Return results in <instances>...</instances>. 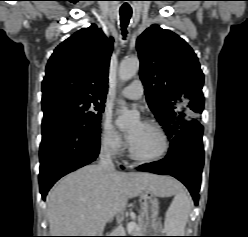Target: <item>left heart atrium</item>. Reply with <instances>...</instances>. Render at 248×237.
<instances>
[{"instance_id":"left-heart-atrium-1","label":"left heart atrium","mask_w":248,"mask_h":237,"mask_svg":"<svg viewBox=\"0 0 248 237\" xmlns=\"http://www.w3.org/2000/svg\"><path fill=\"white\" fill-rule=\"evenodd\" d=\"M141 123L139 122L134 128H132L131 130H129L127 133H126V138L128 140V142L131 144L132 141L134 140L138 130H139V127H140Z\"/></svg>"}]
</instances>
